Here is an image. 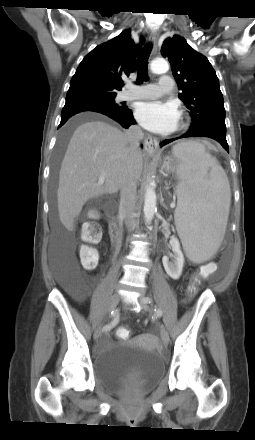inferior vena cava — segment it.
<instances>
[{
    "label": "inferior vena cava",
    "instance_id": "1",
    "mask_svg": "<svg viewBox=\"0 0 255 440\" xmlns=\"http://www.w3.org/2000/svg\"><path fill=\"white\" fill-rule=\"evenodd\" d=\"M126 137L129 143L130 152V163L133 161L134 154L139 149L140 140L143 138L144 134L140 127L131 126L126 131ZM136 210H137V190L136 181L133 176L132 166L129 167V173L122 182L120 188V205L119 212L123 215L125 220V225L128 231L134 230L138 226L136 221Z\"/></svg>",
    "mask_w": 255,
    "mask_h": 440
}]
</instances>
